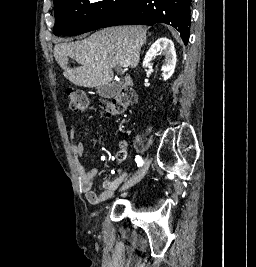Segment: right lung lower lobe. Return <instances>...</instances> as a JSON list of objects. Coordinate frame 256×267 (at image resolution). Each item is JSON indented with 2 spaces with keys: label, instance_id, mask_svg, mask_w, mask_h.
<instances>
[{
  "label": "right lung lower lobe",
  "instance_id": "1",
  "mask_svg": "<svg viewBox=\"0 0 256 267\" xmlns=\"http://www.w3.org/2000/svg\"><path fill=\"white\" fill-rule=\"evenodd\" d=\"M192 0H133L123 13L103 27L115 25H153L166 23L181 34L187 45L190 33ZM102 27V28H103Z\"/></svg>",
  "mask_w": 256,
  "mask_h": 267
}]
</instances>
